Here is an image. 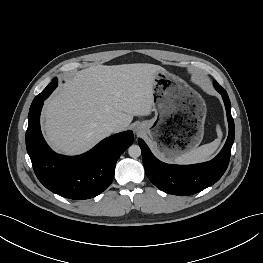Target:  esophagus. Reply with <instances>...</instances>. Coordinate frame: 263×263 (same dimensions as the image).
Segmentation results:
<instances>
[{"instance_id": "34e87169", "label": "esophagus", "mask_w": 263, "mask_h": 263, "mask_svg": "<svg viewBox=\"0 0 263 263\" xmlns=\"http://www.w3.org/2000/svg\"><path fill=\"white\" fill-rule=\"evenodd\" d=\"M134 131L136 132V134H139V131L137 129H134Z\"/></svg>"}]
</instances>
